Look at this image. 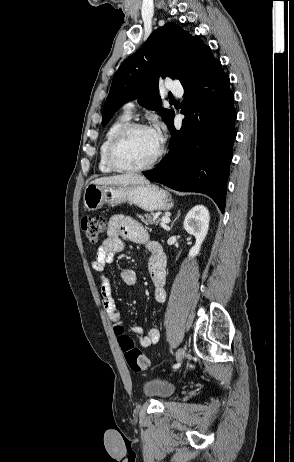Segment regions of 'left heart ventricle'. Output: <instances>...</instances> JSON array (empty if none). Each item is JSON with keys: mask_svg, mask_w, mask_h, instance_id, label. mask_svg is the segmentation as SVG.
Segmentation results:
<instances>
[{"mask_svg": "<svg viewBox=\"0 0 294 462\" xmlns=\"http://www.w3.org/2000/svg\"><path fill=\"white\" fill-rule=\"evenodd\" d=\"M159 147L152 130H135L119 146L117 158L126 166H142L156 155Z\"/></svg>", "mask_w": 294, "mask_h": 462, "instance_id": "b2bd125f", "label": "left heart ventricle"}]
</instances>
